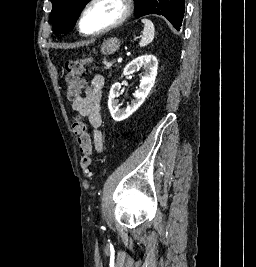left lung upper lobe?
I'll return each mask as SVG.
<instances>
[{
    "label": "left lung upper lobe",
    "instance_id": "1",
    "mask_svg": "<svg viewBox=\"0 0 256 267\" xmlns=\"http://www.w3.org/2000/svg\"><path fill=\"white\" fill-rule=\"evenodd\" d=\"M90 0H51L53 9L51 22L58 33L71 31L84 6ZM136 17L158 14L166 17L172 24L175 19V0H136Z\"/></svg>",
    "mask_w": 256,
    "mask_h": 267
}]
</instances>
